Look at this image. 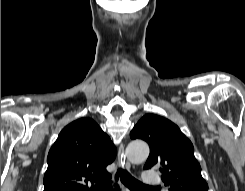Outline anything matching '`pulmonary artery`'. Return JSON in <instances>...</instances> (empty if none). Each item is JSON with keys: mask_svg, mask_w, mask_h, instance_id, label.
Here are the masks:
<instances>
[{"mask_svg": "<svg viewBox=\"0 0 245 191\" xmlns=\"http://www.w3.org/2000/svg\"><path fill=\"white\" fill-rule=\"evenodd\" d=\"M142 178H143V183L147 186H156L161 183L158 174L151 170H146L145 172H143Z\"/></svg>", "mask_w": 245, "mask_h": 191, "instance_id": "e3ab8cb5", "label": "pulmonary artery"}]
</instances>
